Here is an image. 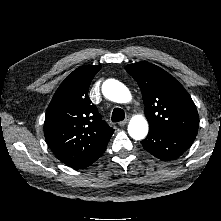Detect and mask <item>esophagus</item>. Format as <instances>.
<instances>
[{
  "mask_svg": "<svg viewBox=\"0 0 221 221\" xmlns=\"http://www.w3.org/2000/svg\"><path fill=\"white\" fill-rule=\"evenodd\" d=\"M128 121H129L128 118L124 119L123 121H120L119 126H121V127L125 126L128 123Z\"/></svg>",
  "mask_w": 221,
  "mask_h": 221,
  "instance_id": "obj_1",
  "label": "esophagus"
}]
</instances>
